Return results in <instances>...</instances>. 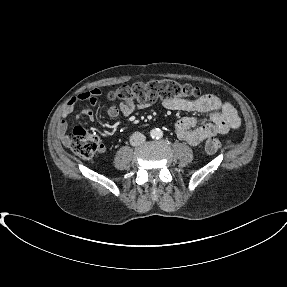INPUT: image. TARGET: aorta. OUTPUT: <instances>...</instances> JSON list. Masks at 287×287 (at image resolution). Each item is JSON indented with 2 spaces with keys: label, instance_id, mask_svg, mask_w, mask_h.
Listing matches in <instances>:
<instances>
[{
  "label": "aorta",
  "instance_id": "obj_1",
  "mask_svg": "<svg viewBox=\"0 0 287 287\" xmlns=\"http://www.w3.org/2000/svg\"><path fill=\"white\" fill-rule=\"evenodd\" d=\"M150 135L152 138H155V139H159L163 136V132L161 129L159 128H156V129H153L151 132H150Z\"/></svg>",
  "mask_w": 287,
  "mask_h": 287
}]
</instances>
